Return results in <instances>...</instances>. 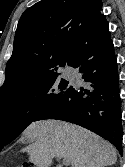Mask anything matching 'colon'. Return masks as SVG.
I'll use <instances>...</instances> for the list:
<instances>
[{
	"instance_id": "obj_1",
	"label": "colon",
	"mask_w": 125,
	"mask_h": 167,
	"mask_svg": "<svg viewBox=\"0 0 125 167\" xmlns=\"http://www.w3.org/2000/svg\"><path fill=\"white\" fill-rule=\"evenodd\" d=\"M20 167H33V164L25 162Z\"/></svg>"
}]
</instances>
